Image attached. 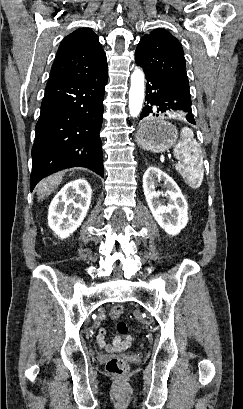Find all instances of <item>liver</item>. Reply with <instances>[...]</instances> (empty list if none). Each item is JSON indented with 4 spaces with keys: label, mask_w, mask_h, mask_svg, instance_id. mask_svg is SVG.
<instances>
[{
    "label": "liver",
    "mask_w": 243,
    "mask_h": 409,
    "mask_svg": "<svg viewBox=\"0 0 243 409\" xmlns=\"http://www.w3.org/2000/svg\"><path fill=\"white\" fill-rule=\"evenodd\" d=\"M63 176L64 172H58L42 180L37 185L38 200H43L45 197L49 196L62 182Z\"/></svg>",
    "instance_id": "liver-1"
}]
</instances>
